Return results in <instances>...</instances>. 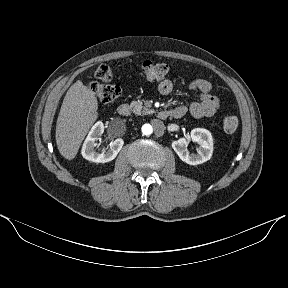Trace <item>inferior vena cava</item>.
I'll use <instances>...</instances> for the list:
<instances>
[{
  "label": "inferior vena cava",
  "mask_w": 288,
  "mask_h": 288,
  "mask_svg": "<svg viewBox=\"0 0 288 288\" xmlns=\"http://www.w3.org/2000/svg\"><path fill=\"white\" fill-rule=\"evenodd\" d=\"M149 124L155 129L154 134L157 137H160L164 134L166 126L156 117H151L149 119Z\"/></svg>",
  "instance_id": "inferior-vena-cava-1"
}]
</instances>
